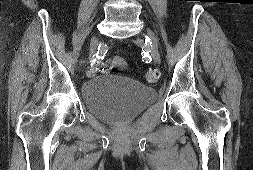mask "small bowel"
Here are the masks:
<instances>
[{"mask_svg":"<svg viewBox=\"0 0 253 170\" xmlns=\"http://www.w3.org/2000/svg\"><path fill=\"white\" fill-rule=\"evenodd\" d=\"M119 61H120V59H117V60H116V62H119Z\"/></svg>","mask_w":253,"mask_h":170,"instance_id":"c3829d8e","label":"small bowel"}]
</instances>
